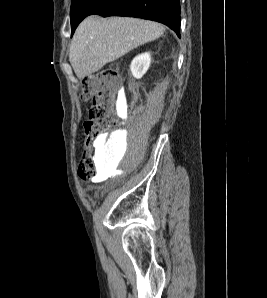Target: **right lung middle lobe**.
<instances>
[{"label": "right lung middle lobe", "instance_id": "1", "mask_svg": "<svg viewBox=\"0 0 267 298\" xmlns=\"http://www.w3.org/2000/svg\"><path fill=\"white\" fill-rule=\"evenodd\" d=\"M100 0H72L71 4V29L72 32L78 24L90 14Z\"/></svg>", "mask_w": 267, "mask_h": 298}]
</instances>
